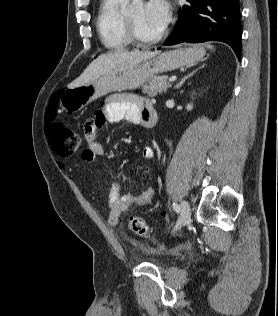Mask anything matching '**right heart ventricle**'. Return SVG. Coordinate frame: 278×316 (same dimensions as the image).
Listing matches in <instances>:
<instances>
[{
	"label": "right heart ventricle",
	"instance_id": "e07e8e85",
	"mask_svg": "<svg viewBox=\"0 0 278 316\" xmlns=\"http://www.w3.org/2000/svg\"><path fill=\"white\" fill-rule=\"evenodd\" d=\"M127 0H101L96 28L101 43L109 50H123L130 45L122 7Z\"/></svg>",
	"mask_w": 278,
	"mask_h": 316
}]
</instances>
